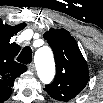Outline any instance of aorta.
I'll return each mask as SVG.
<instances>
[{
	"label": "aorta",
	"instance_id": "aorta-1",
	"mask_svg": "<svg viewBox=\"0 0 103 103\" xmlns=\"http://www.w3.org/2000/svg\"><path fill=\"white\" fill-rule=\"evenodd\" d=\"M34 62L38 77L43 83L52 81L55 75V62L51 49L43 46L35 52Z\"/></svg>",
	"mask_w": 103,
	"mask_h": 103
}]
</instances>
